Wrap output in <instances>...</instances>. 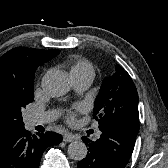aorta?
<instances>
[{
  "instance_id": "1",
  "label": "aorta",
  "mask_w": 168,
  "mask_h": 168,
  "mask_svg": "<svg viewBox=\"0 0 168 168\" xmlns=\"http://www.w3.org/2000/svg\"><path fill=\"white\" fill-rule=\"evenodd\" d=\"M71 87L69 75L60 70L48 72L42 78L44 92L52 97L65 95ZM69 157L76 161L83 160L87 155V147L82 141H73L68 145Z\"/></svg>"
}]
</instances>
